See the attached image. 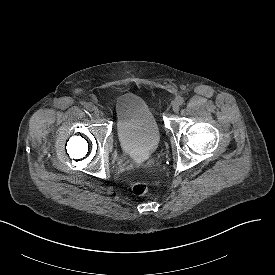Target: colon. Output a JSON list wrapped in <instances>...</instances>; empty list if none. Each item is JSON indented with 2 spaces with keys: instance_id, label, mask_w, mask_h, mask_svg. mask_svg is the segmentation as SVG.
Wrapping results in <instances>:
<instances>
[{
  "instance_id": "5ec220e1",
  "label": "colon",
  "mask_w": 275,
  "mask_h": 275,
  "mask_svg": "<svg viewBox=\"0 0 275 275\" xmlns=\"http://www.w3.org/2000/svg\"><path fill=\"white\" fill-rule=\"evenodd\" d=\"M132 191L136 196H144L148 192V184L145 181H138L133 184Z\"/></svg>"
}]
</instances>
